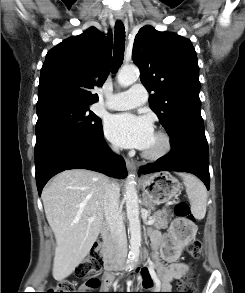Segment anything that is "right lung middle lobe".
<instances>
[{
	"instance_id": "obj_1",
	"label": "right lung middle lobe",
	"mask_w": 245,
	"mask_h": 293,
	"mask_svg": "<svg viewBox=\"0 0 245 293\" xmlns=\"http://www.w3.org/2000/svg\"><path fill=\"white\" fill-rule=\"evenodd\" d=\"M35 155L62 138L90 136L102 129L101 120L86 105L53 104L37 108Z\"/></svg>"
}]
</instances>
